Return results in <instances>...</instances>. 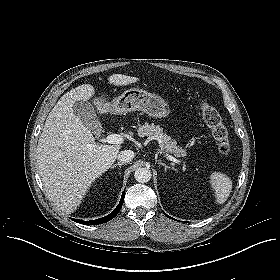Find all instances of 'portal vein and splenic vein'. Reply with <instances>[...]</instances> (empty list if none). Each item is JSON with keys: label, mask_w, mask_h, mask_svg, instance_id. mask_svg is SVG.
Returning a JSON list of instances; mask_svg holds the SVG:
<instances>
[{"label": "portal vein and splenic vein", "mask_w": 280, "mask_h": 280, "mask_svg": "<svg viewBox=\"0 0 280 280\" xmlns=\"http://www.w3.org/2000/svg\"><path fill=\"white\" fill-rule=\"evenodd\" d=\"M105 142L108 144H121L123 143V138L121 135L119 134H110L105 138ZM167 158L175 163H178L179 160H177L176 158H174L171 155L166 154Z\"/></svg>", "instance_id": "obj_1"}]
</instances>
